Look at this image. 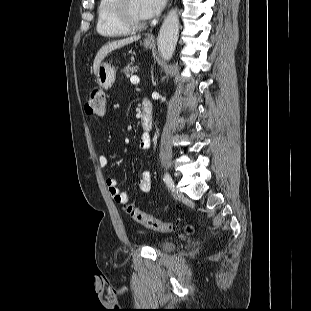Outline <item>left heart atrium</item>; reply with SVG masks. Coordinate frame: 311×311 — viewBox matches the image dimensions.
<instances>
[{"label": "left heart atrium", "instance_id": "39dd6f15", "mask_svg": "<svg viewBox=\"0 0 311 311\" xmlns=\"http://www.w3.org/2000/svg\"><path fill=\"white\" fill-rule=\"evenodd\" d=\"M166 0H139L140 13L145 19H150L161 12Z\"/></svg>", "mask_w": 311, "mask_h": 311}]
</instances>
